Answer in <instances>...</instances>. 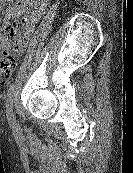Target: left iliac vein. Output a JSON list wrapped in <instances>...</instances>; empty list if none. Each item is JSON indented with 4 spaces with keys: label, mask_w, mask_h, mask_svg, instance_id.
<instances>
[{
    "label": "left iliac vein",
    "mask_w": 133,
    "mask_h": 173,
    "mask_svg": "<svg viewBox=\"0 0 133 173\" xmlns=\"http://www.w3.org/2000/svg\"><path fill=\"white\" fill-rule=\"evenodd\" d=\"M9 118H11V120L10 121H14L15 122V118H14V114H13V112H11L10 114H9Z\"/></svg>",
    "instance_id": "left-iliac-vein-1"
}]
</instances>
